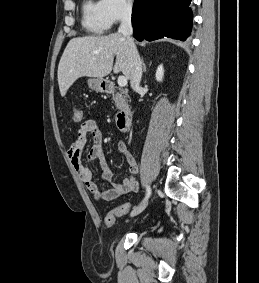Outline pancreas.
Masks as SVG:
<instances>
[{
	"label": "pancreas",
	"instance_id": "obj_1",
	"mask_svg": "<svg viewBox=\"0 0 259 283\" xmlns=\"http://www.w3.org/2000/svg\"><path fill=\"white\" fill-rule=\"evenodd\" d=\"M126 98H127V94L123 95L122 93L119 92H117L113 96V101L115 102L117 109H121L128 106L126 102Z\"/></svg>",
	"mask_w": 259,
	"mask_h": 283
}]
</instances>
